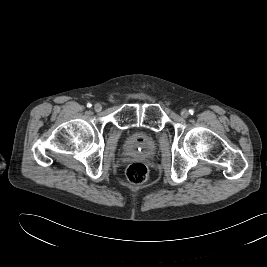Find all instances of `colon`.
Returning a JSON list of instances; mask_svg holds the SVG:
<instances>
[{
  "mask_svg": "<svg viewBox=\"0 0 267 267\" xmlns=\"http://www.w3.org/2000/svg\"><path fill=\"white\" fill-rule=\"evenodd\" d=\"M126 176L130 182L141 184L148 179L149 170L145 164L135 162L127 167Z\"/></svg>",
  "mask_w": 267,
  "mask_h": 267,
  "instance_id": "colon-1",
  "label": "colon"
}]
</instances>
